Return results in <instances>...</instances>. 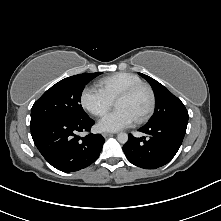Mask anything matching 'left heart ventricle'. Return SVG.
Masks as SVG:
<instances>
[{
	"label": "left heart ventricle",
	"mask_w": 221,
	"mask_h": 221,
	"mask_svg": "<svg viewBox=\"0 0 221 221\" xmlns=\"http://www.w3.org/2000/svg\"><path fill=\"white\" fill-rule=\"evenodd\" d=\"M150 97L146 89H140L132 96L115 102L117 109H125L134 119L141 117L149 107Z\"/></svg>",
	"instance_id": "1"
}]
</instances>
